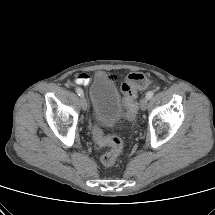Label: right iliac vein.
Returning <instances> with one entry per match:
<instances>
[{
	"instance_id": "63e3f726",
	"label": "right iliac vein",
	"mask_w": 215,
	"mask_h": 215,
	"mask_svg": "<svg viewBox=\"0 0 215 215\" xmlns=\"http://www.w3.org/2000/svg\"><path fill=\"white\" fill-rule=\"evenodd\" d=\"M87 106H88V104H87L86 98L84 96H81V107H82V109L84 111H86L87 110Z\"/></svg>"
}]
</instances>
